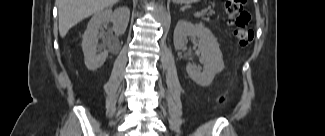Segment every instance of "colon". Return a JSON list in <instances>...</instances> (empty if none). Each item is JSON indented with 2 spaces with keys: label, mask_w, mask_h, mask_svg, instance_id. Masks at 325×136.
I'll use <instances>...</instances> for the list:
<instances>
[{
  "label": "colon",
  "mask_w": 325,
  "mask_h": 136,
  "mask_svg": "<svg viewBox=\"0 0 325 136\" xmlns=\"http://www.w3.org/2000/svg\"><path fill=\"white\" fill-rule=\"evenodd\" d=\"M247 0H226L225 10L229 15V24L233 27V34L237 43L241 47L248 46L254 37L253 31L249 27L250 14L244 10ZM225 100L221 98V102Z\"/></svg>",
  "instance_id": "1"
}]
</instances>
